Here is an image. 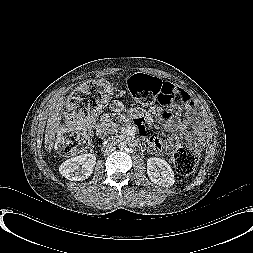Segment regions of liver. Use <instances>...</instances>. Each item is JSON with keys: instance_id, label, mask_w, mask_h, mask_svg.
Instances as JSON below:
<instances>
[{"instance_id": "obj_1", "label": "liver", "mask_w": 253, "mask_h": 253, "mask_svg": "<svg viewBox=\"0 0 253 253\" xmlns=\"http://www.w3.org/2000/svg\"><path fill=\"white\" fill-rule=\"evenodd\" d=\"M63 104V97H59L57 101L53 104V107L50 111L49 119L47 121V126L45 130V148L49 152L53 149L56 134L59 131Z\"/></svg>"}]
</instances>
